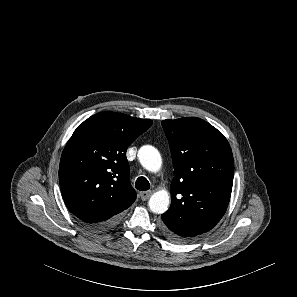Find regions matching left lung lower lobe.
Segmentation results:
<instances>
[{
	"label": "left lung lower lobe",
	"instance_id": "obj_1",
	"mask_svg": "<svg viewBox=\"0 0 297 297\" xmlns=\"http://www.w3.org/2000/svg\"><path fill=\"white\" fill-rule=\"evenodd\" d=\"M161 229L164 235L170 240L175 242H184V240H182L176 233L173 232L174 228L166 220H163V223L161 224Z\"/></svg>",
	"mask_w": 297,
	"mask_h": 297
}]
</instances>
